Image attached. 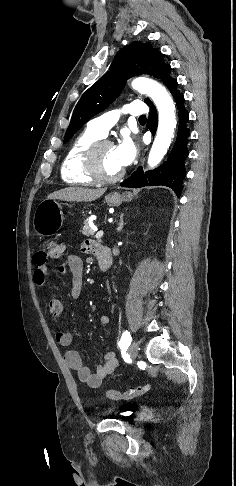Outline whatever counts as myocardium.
<instances>
[{"label": "myocardium", "mask_w": 236, "mask_h": 486, "mask_svg": "<svg viewBox=\"0 0 236 486\" xmlns=\"http://www.w3.org/2000/svg\"><path fill=\"white\" fill-rule=\"evenodd\" d=\"M105 146H114L113 143L107 139H99L93 142L84 154V171L87 176L95 183L111 184L121 180L125 174L122 170L114 176H107L103 173L100 166V152Z\"/></svg>", "instance_id": "1"}]
</instances>
